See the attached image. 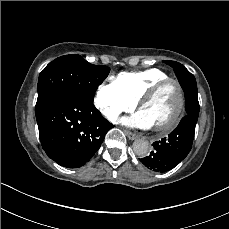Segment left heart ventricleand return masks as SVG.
Wrapping results in <instances>:
<instances>
[{"mask_svg": "<svg viewBox=\"0 0 229 229\" xmlns=\"http://www.w3.org/2000/svg\"><path fill=\"white\" fill-rule=\"evenodd\" d=\"M176 83H168L166 86L159 89L147 102L140 112L149 121L153 128H164V122L172 113L175 105L174 89ZM184 105V104H183ZM183 110V108H182ZM182 112V111H181Z\"/></svg>", "mask_w": 229, "mask_h": 229, "instance_id": "obj_1", "label": "left heart ventricle"}]
</instances>
